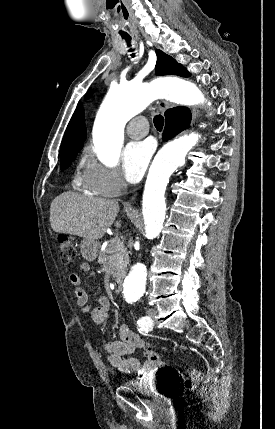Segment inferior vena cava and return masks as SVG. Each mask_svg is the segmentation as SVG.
<instances>
[{"mask_svg":"<svg viewBox=\"0 0 275 429\" xmlns=\"http://www.w3.org/2000/svg\"><path fill=\"white\" fill-rule=\"evenodd\" d=\"M122 185H123V187H124V188H126V187H127V184H126V183H123Z\"/></svg>","mask_w":275,"mask_h":429,"instance_id":"1","label":"inferior vena cava"}]
</instances>
